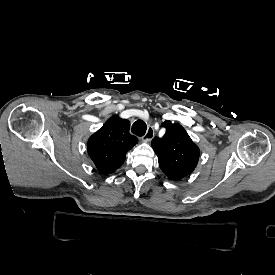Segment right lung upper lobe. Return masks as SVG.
Segmentation results:
<instances>
[{"label": "right lung upper lobe", "instance_id": "cb5924a9", "mask_svg": "<svg viewBox=\"0 0 275 275\" xmlns=\"http://www.w3.org/2000/svg\"><path fill=\"white\" fill-rule=\"evenodd\" d=\"M130 122L112 116L88 140V154L102 174L116 171L125 161L126 153L138 142L129 132Z\"/></svg>", "mask_w": 275, "mask_h": 275}]
</instances>
